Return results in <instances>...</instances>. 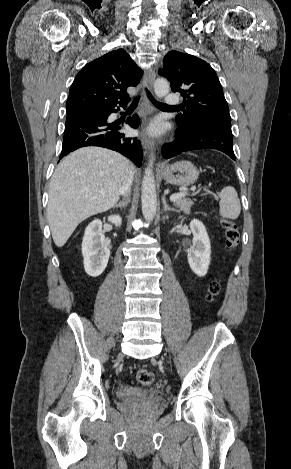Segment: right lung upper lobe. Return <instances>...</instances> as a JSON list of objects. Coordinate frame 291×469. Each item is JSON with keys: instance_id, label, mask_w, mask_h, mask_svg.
<instances>
[{"instance_id": "right-lung-upper-lobe-1", "label": "right lung upper lobe", "mask_w": 291, "mask_h": 469, "mask_svg": "<svg viewBox=\"0 0 291 469\" xmlns=\"http://www.w3.org/2000/svg\"><path fill=\"white\" fill-rule=\"evenodd\" d=\"M141 69L124 49L111 51L77 74L66 103L67 114L96 104L128 103L127 88L136 86Z\"/></svg>"}]
</instances>
